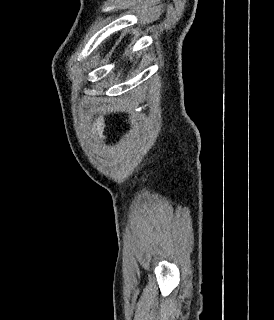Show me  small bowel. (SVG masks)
Listing matches in <instances>:
<instances>
[{"instance_id": "1", "label": "small bowel", "mask_w": 274, "mask_h": 320, "mask_svg": "<svg viewBox=\"0 0 274 320\" xmlns=\"http://www.w3.org/2000/svg\"><path fill=\"white\" fill-rule=\"evenodd\" d=\"M103 128H104V121L102 117L98 116L95 119V122L93 124V131L100 136V138H104L103 135Z\"/></svg>"}]
</instances>
